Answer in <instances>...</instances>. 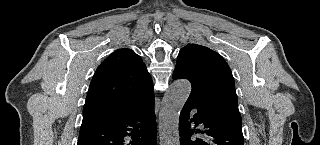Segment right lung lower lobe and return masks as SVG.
<instances>
[{
    "label": "right lung lower lobe",
    "mask_w": 320,
    "mask_h": 145,
    "mask_svg": "<svg viewBox=\"0 0 320 145\" xmlns=\"http://www.w3.org/2000/svg\"><path fill=\"white\" fill-rule=\"evenodd\" d=\"M77 145H156L154 96L125 116L82 124Z\"/></svg>",
    "instance_id": "1"
}]
</instances>
